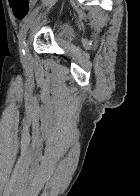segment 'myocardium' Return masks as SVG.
<instances>
[{"instance_id":"myocardium-1","label":"myocardium","mask_w":140,"mask_h":196,"mask_svg":"<svg viewBox=\"0 0 140 196\" xmlns=\"http://www.w3.org/2000/svg\"><path fill=\"white\" fill-rule=\"evenodd\" d=\"M6 192H9V191H6ZM42 192H64V191H42Z\"/></svg>"}]
</instances>
